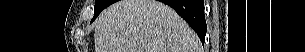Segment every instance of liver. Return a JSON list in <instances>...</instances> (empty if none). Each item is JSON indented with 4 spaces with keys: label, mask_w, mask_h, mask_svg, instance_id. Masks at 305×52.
<instances>
[{
    "label": "liver",
    "mask_w": 305,
    "mask_h": 52,
    "mask_svg": "<svg viewBox=\"0 0 305 52\" xmlns=\"http://www.w3.org/2000/svg\"><path fill=\"white\" fill-rule=\"evenodd\" d=\"M95 52H199L200 41L169 6L156 0H121L95 23Z\"/></svg>",
    "instance_id": "liver-1"
}]
</instances>
